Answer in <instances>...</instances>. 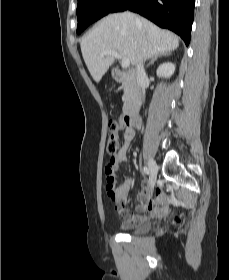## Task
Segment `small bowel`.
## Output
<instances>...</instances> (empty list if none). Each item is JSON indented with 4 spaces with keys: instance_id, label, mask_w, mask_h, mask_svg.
Instances as JSON below:
<instances>
[{
    "instance_id": "c3829d8e",
    "label": "small bowel",
    "mask_w": 229,
    "mask_h": 280,
    "mask_svg": "<svg viewBox=\"0 0 229 280\" xmlns=\"http://www.w3.org/2000/svg\"><path fill=\"white\" fill-rule=\"evenodd\" d=\"M135 137L132 130H128L124 134V142L121 145L120 151L117 153L114 160V170L118 171L126 164V152L130 141ZM133 188V180L126 179L121 185H112L107 181L108 195L116 206L118 213L125 219L122 228L128 229L135 226L139 221L155 216H164L168 212V204L166 194L161 187L155 191L156 198L151 199V191L147 182L142 183L137 194L138 204L135 206L133 214L127 209L130 192Z\"/></svg>"
}]
</instances>
